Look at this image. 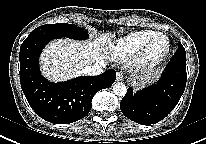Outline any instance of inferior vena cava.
<instances>
[{
  "label": "inferior vena cava",
  "instance_id": "1",
  "mask_svg": "<svg viewBox=\"0 0 206 144\" xmlns=\"http://www.w3.org/2000/svg\"><path fill=\"white\" fill-rule=\"evenodd\" d=\"M103 68H105V64L98 63V64L85 67L83 69V73L89 76H96L103 73Z\"/></svg>",
  "mask_w": 206,
  "mask_h": 144
}]
</instances>
